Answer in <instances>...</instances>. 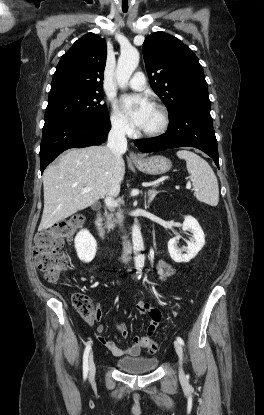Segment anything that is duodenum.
<instances>
[{
    "instance_id": "410a0bca",
    "label": "duodenum",
    "mask_w": 264,
    "mask_h": 415,
    "mask_svg": "<svg viewBox=\"0 0 264 415\" xmlns=\"http://www.w3.org/2000/svg\"><path fill=\"white\" fill-rule=\"evenodd\" d=\"M93 226H94V230L95 233L97 235V237L101 240L104 241L105 240V230H104V224H103V216H102V211H98L95 216H94V220H93ZM131 244L130 243H126L123 250H122V257L126 258L130 253H131Z\"/></svg>"
}]
</instances>
